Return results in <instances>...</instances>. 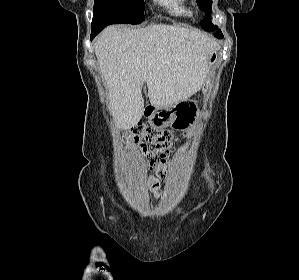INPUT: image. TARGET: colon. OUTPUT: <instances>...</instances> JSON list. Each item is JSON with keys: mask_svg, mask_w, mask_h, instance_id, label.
<instances>
[{"mask_svg": "<svg viewBox=\"0 0 299 280\" xmlns=\"http://www.w3.org/2000/svg\"><path fill=\"white\" fill-rule=\"evenodd\" d=\"M130 136L139 144L151 165L159 167L161 175L166 176L168 154L175 141L174 133L139 124L131 128Z\"/></svg>", "mask_w": 299, "mask_h": 280, "instance_id": "obj_1", "label": "colon"}]
</instances>
